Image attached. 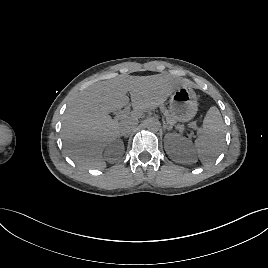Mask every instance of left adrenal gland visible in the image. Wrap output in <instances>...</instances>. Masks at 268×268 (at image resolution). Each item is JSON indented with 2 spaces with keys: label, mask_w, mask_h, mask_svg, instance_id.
Segmentation results:
<instances>
[{
  "label": "left adrenal gland",
  "mask_w": 268,
  "mask_h": 268,
  "mask_svg": "<svg viewBox=\"0 0 268 268\" xmlns=\"http://www.w3.org/2000/svg\"><path fill=\"white\" fill-rule=\"evenodd\" d=\"M163 129L164 130H170V128L165 123L163 124Z\"/></svg>",
  "instance_id": "a2214340"
}]
</instances>
